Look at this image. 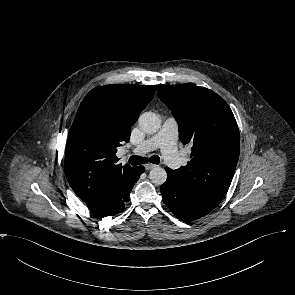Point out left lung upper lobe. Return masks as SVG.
Returning <instances> with one entry per match:
<instances>
[{
    "instance_id": "1",
    "label": "left lung upper lobe",
    "mask_w": 295,
    "mask_h": 295,
    "mask_svg": "<svg viewBox=\"0 0 295 295\" xmlns=\"http://www.w3.org/2000/svg\"><path fill=\"white\" fill-rule=\"evenodd\" d=\"M158 96L179 125L191 161L174 177L202 207L213 210L226 195L239 158L240 135L234 115L215 92L193 83L158 85Z\"/></svg>"
}]
</instances>
